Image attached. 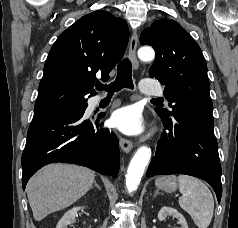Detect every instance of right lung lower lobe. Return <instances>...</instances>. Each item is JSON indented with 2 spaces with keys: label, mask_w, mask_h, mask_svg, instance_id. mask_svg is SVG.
I'll return each instance as SVG.
<instances>
[{
  "label": "right lung lower lobe",
  "mask_w": 238,
  "mask_h": 228,
  "mask_svg": "<svg viewBox=\"0 0 238 228\" xmlns=\"http://www.w3.org/2000/svg\"><path fill=\"white\" fill-rule=\"evenodd\" d=\"M88 104L36 113L27 132L22 154L23 189L29 178L42 166L54 162L83 165L101 174L117 176L120 151L116 135L100 123L85 120Z\"/></svg>",
  "instance_id": "obj_1"
}]
</instances>
